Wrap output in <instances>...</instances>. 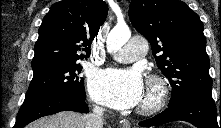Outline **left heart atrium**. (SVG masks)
<instances>
[{
	"label": "left heart atrium",
	"instance_id": "39dd6f15",
	"mask_svg": "<svg viewBox=\"0 0 221 128\" xmlns=\"http://www.w3.org/2000/svg\"><path fill=\"white\" fill-rule=\"evenodd\" d=\"M89 86L94 99L118 109L138 105L145 91L142 74L137 67L98 71L90 78Z\"/></svg>",
	"mask_w": 221,
	"mask_h": 128
}]
</instances>
